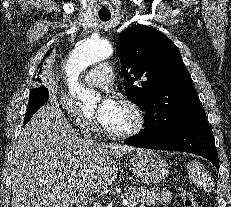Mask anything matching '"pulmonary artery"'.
<instances>
[{
  "label": "pulmonary artery",
  "instance_id": "e3ab8cb5",
  "mask_svg": "<svg viewBox=\"0 0 231 207\" xmlns=\"http://www.w3.org/2000/svg\"><path fill=\"white\" fill-rule=\"evenodd\" d=\"M114 72L110 64L98 63L85 76L86 83L91 87H100L111 81Z\"/></svg>",
  "mask_w": 231,
  "mask_h": 207
}]
</instances>
